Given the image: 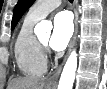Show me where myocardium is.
<instances>
[{
  "label": "myocardium",
  "instance_id": "1",
  "mask_svg": "<svg viewBox=\"0 0 107 89\" xmlns=\"http://www.w3.org/2000/svg\"><path fill=\"white\" fill-rule=\"evenodd\" d=\"M38 43H39V46H40L42 52H44L47 47L46 43L42 42L40 39H38Z\"/></svg>",
  "mask_w": 107,
  "mask_h": 89
}]
</instances>
